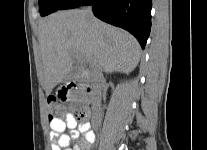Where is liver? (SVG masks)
<instances>
[{"instance_id":"obj_1","label":"liver","mask_w":207,"mask_h":150,"mask_svg":"<svg viewBox=\"0 0 207 150\" xmlns=\"http://www.w3.org/2000/svg\"><path fill=\"white\" fill-rule=\"evenodd\" d=\"M39 43L46 95L71 72L75 57L91 69L100 65L106 73H129L140 60V46L132 35L95 17L88 19L84 10L59 11L41 20Z\"/></svg>"}]
</instances>
